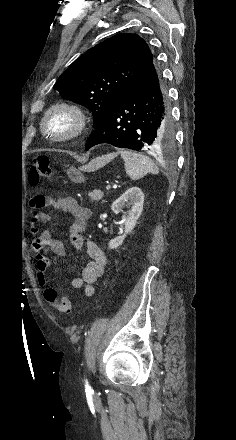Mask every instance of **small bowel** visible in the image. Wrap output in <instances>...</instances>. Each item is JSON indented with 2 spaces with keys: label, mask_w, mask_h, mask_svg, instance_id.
I'll list each match as a JSON object with an SVG mask.
<instances>
[{
  "label": "small bowel",
  "mask_w": 236,
  "mask_h": 440,
  "mask_svg": "<svg viewBox=\"0 0 236 440\" xmlns=\"http://www.w3.org/2000/svg\"><path fill=\"white\" fill-rule=\"evenodd\" d=\"M33 222L29 225L32 236V247L36 254V278L40 287L47 285L46 270L50 265L49 253L58 257L66 254L62 241L53 238L47 228L49 216L44 208L63 210L73 216L70 226V241L76 250L85 249L89 261L82 269L81 275L70 280L72 289L83 288L84 294L91 297L95 293V282L104 273L107 257L103 250L93 241H85L86 223L90 210L78 204L71 196L50 197L43 194L34 195L30 199Z\"/></svg>",
  "instance_id": "c3829d8e"
}]
</instances>
